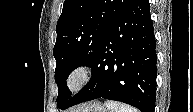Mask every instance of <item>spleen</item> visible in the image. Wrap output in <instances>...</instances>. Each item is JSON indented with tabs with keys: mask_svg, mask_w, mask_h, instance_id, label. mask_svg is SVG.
Listing matches in <instances>:
<instances>
[{
	"mask_svg": "<svg viewBox=\"0 0 193 112\" xmlns=\"http://www.w3.org/2000/svg\"><path fill=\"white\" fill-rule=\"evenodd\" d=\"M105 106L110 112H138L134 107L112 100L105 101Z\"/></svg>",
	"mask_w": 193,
	"mask_h": 112,
	"instance_id": "1",
	"label": "spleen"
}]
</instances>
